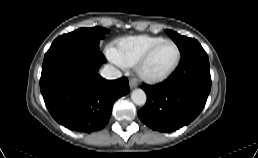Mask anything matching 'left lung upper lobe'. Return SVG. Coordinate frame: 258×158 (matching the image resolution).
<instances>
[{
    "mask_svg": "<svg viewBox=\"0 0 258 158\" xmlns=\"http://www.w3.org/2000/svg\"><path fill=\"white\" fill-rule=\"evenodd\" d=\"M166 32L173 39L181 54L185 53L190 48V46L198 42L195 39L181 36L172 30H166Z\"/></svg>",
    "mask_w": 258,
    "mask_h": 158,
    "instance_id": "5c2ea615",
    "label": "left lung upper lobe"
}]
</instances>
